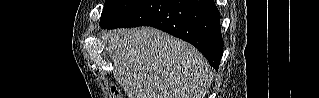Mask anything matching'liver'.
I'll return each instance as SVG.
<instances>
[{
  "label": "liver",
  "instance_id": "liver-1",
  "mask_svg": "<svg viewBox=\"0 0 319 98\" xmlns=\"http://www.w3.org/2000/svg\"><path fill=\"white\" fill-rule=\"evenodd\" d=\"M103 35L128 98H205L212 69L191 44L150 27Z\"/></svg>",
  "mask_w": 319,
  "mask_h": 98
}]
</instances>
